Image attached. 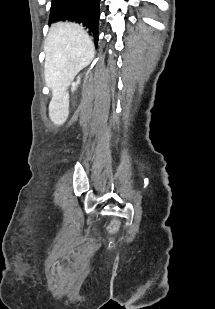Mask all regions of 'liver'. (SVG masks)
I'll return each mask as SVG.
<instances>
[{"label":"liver","mask_w":215,"mask_h":309,"mask_svg":"<svg viewBox=\"0 0 215 309\" xmlns=\"http://www.w3.org/2000/svg\"><path fill=\"white\" fill-rule=\"evenodd\" d=\"M46 82L52 88L50 118L62 124L68 116V106L58 108V102L77 72L90 64L95 46L91 36L76 22H54L44 44Z\"/></svg>","instance_id":"6515ba94"}]
</instances>
